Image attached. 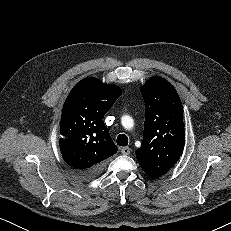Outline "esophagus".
Here are the masks:
<instances>
[{"instance_id": "34e87169", "label": "esophagus", "mask_w": 231, "mask_h": 231, "mask_svg": "<svg viewBox=\"0 0 231 231\" xmlns=\"http://www.w3.org/2000/svg\"><path fill=\"white\" fill-rule=\"evenodd\" d=\"M130 152H131V149H130L129 147H123V148L121 149V153H122L123 155H129Z\"/></svg>"}]
</instances>
